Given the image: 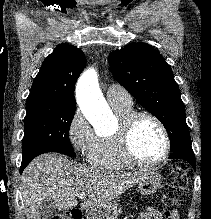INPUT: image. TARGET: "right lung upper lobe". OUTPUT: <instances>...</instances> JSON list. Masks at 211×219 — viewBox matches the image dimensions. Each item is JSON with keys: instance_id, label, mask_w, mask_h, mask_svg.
I'll list each match as a JSON object with an SVG mask.
<instances>
[{"instance_id": "cb5924a9", "label": "right lung upper lobe", "mask_w": 211, "mask_h": 219, "mask_svg": "<svg viewBox=\"0 0 211 219\" xmlns=\"http://www.w3.org/2000/svg\"><path fill=\"white\" fill-rule=\"evenodd\" d=\"M86 64L84 53L69 44L58 45L43 62L32 84L27 103L50 102L74 107V86Z\"/></svg>"}]
</instances>
